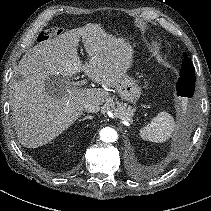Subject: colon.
I'll list each match as a JSON object with an SVG mask.
<instances>
[{
  "label": "colon",
  "mask_w": 211,
  "mask_h": 211,
  "mask_svg": "<svg viewBox=\"0 0 211 211\" xmlns=\"http://www.w3.org/2000/svg\"><path fill=\"white\" fill-rule=\"evenodd\" d=\"M62 33V29L59 27H54L51 29H47L44 31H41L37 36V41L39 43H45L48 40H50L54 36H58Z\"/></svg>",
  "instance_id": "5ec220e1"
}]
</instances>
